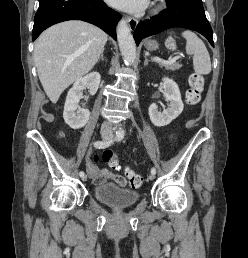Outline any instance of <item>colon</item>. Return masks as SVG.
<instances>
[{"mask_svg":"<svg viewBox=\"0 0 248 258\" xmlns=\"http://www.w3.org/2000/svg\"><path fill=\"white\" fill-rule=\"evenodd\" d=\"M168 47L170 49L175 48V42L170 40L168 42ZM204 89V78L199 73H192L189 77V88L185 94V101L188 105H196L201 99V94ZM98 159L97 155H92L89 161L85 162L88 166L87 173H96L95 162ZM103 160L108 163L112 170H119V160L118 157L112 152H105L103 154ZM124 166H133V161H124ZM127 175L130 179V184L137 188L142 184V177L135 174L131 169H127Z\"/></svg>","mask_w":248,"mask_h":258,"instance_id":"obj_1","label":"colon"}]
</instances>
